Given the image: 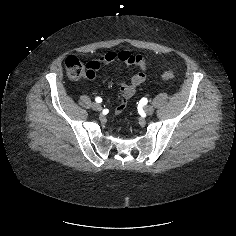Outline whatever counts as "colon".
Segmentation results:
<instances>
[{
    "label": "colon",
    "instance_id": "obj_1",
    "mask_svg": "<svg viewBox=\"0 0 236 236\" xmlns=\"http://www.w3.org/2000/svg\"><path fill=\"white\" fill-rule=\"evenodd\" d=\"M64 66L68 77L72 80L90 78L92 76V72L87 67V64L81 62L76 56L70 55L66 57ZM161 78L163 81L171 82L174 79V74L167 71L162 74Z\"/></svg>",
    "mask_w": 236,
    "mask_h": 236
}]
</instances>
